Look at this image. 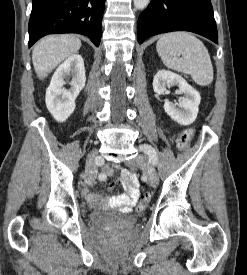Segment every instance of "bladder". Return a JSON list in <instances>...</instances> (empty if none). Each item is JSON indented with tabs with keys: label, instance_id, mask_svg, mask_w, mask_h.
I'll use <instances>...</instances> for the list:
<instances>
[{
	"label": "bladder",
	"instance_id": "1",
	"mask_svg": "<svg viewBox=\"0 0 247 275\" xmlns=\"http://www.w3.org/2000/svg\"><path fill=\"white\" fill-rule=\"evenodd\" d=\"M89 219L94 225L101 226H133L136 222V218L132 215H125L112 211H91Z\"/></svg>",
	"mask_w": 247,
	"mask_h": 275
}]
</instances>
